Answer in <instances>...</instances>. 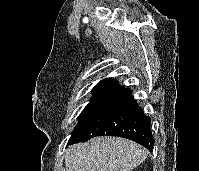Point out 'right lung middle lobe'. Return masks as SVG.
Listing matches in <instances>:
<instances>
[{"label":"right lung middle lobe","mask_w":199,"mask_h":171,"mask_svg":"<svg viewBox=\"0 0 199 171\" xmlns=\"http://www.w3.org/2000/svg\"><path fill=\"white\" fill-rule=\"evenodd\" d=\"M112 80L111 79H104L100 81L92 90L93 97L92 99L100 92L102 91Z\"/></svg>","instance_id":"1"}]
</instances>
